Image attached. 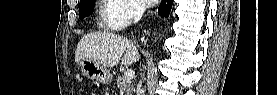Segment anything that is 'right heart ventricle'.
Returning <instances> with one entry per match:
<instances>
[{"instance_id":"right-heart-ventricle-1","label":"right heart ventricle","mask_w":277,"mask_h":95,"mask_svg":"<svg viewBox=\"0 0 277 95\" xmlns=\"http://www.w3.org/2000/svg\"><path fill=\"white\" fill-rule=\"evenodd\" d=\"M119 4L113 0H101L99 9V26L104 30L113 29L114 13L113 10L118 8Z\"/></svg>"}]
</instances>
